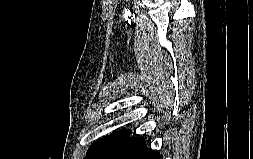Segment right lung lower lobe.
<instances>
[{
  "instance_id": "1",
  "label": "right lung lower lobe",
  "mask_w": 253,
  "mask_h": 159,
  "mask_svg": "<svg viewBox=\"0 0 253 159\" xmlns=\"http://www.w3.org/2000/svg\"><path fill=\"white\" fill-rule=\"evenodd\" d=\"M97 159H159V153L150 150L144 139L128 134Z\"/></svg>"
}]
</instances>
